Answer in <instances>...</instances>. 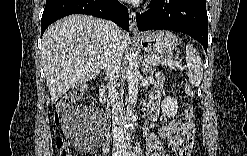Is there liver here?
<instances>
[{
    "label": "liver",
    "mask_w": 247,
    "mask_h": 156,
    "mask_svg": "<svg viewBox=\"0 0 247 156\" xmlns=\"http://www.w3.org/2000/svg\"><path fill=\"white\" fill-rule=\"evenodd\" d=\"M106 21L88 15H70L50 25L42 38L45 78L51 101L95 78L104 68L109 49ZM127 34L120 30L119 47H127Z\"/></svg>",
    "instance_id": "obj_1"
}]
</instances>
